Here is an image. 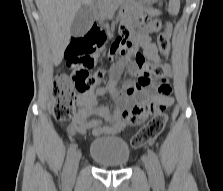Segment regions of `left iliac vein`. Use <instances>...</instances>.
Returning a JSON list of instances; mask_svg holds the SVG:
<instances>
[{"label":"left iliac vein","instance_id":"4c4485c4","mask_svg":"<svg viewBox=\"0 0 223 191\" xmlns=\"http://www.w3.org/2000/svg\"><path fill=\"white\" fill-rule=\"evenodd\" d=\"M142 160L146 168V171L148 173L149 179L152 182H155L157 180V176H156L155 168L151 159L148 156H144Z\"/></svg>","mask_w":223,"mask_h":191}]
</instances>
